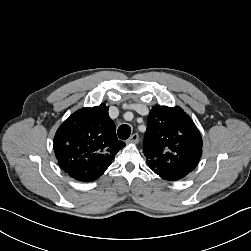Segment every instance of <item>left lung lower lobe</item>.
Masks as SVG:
<instances>
[{"label":"left lung lower lobe","instance_id":"0a47b994","mask_svg":"<svg viewBox=\"0 0 251 251\" xmlns=\"http://www.w3.org/2000/svg\"><path fill=\"white\" fill-rule=\"evenodd\" d=\"M147 164L151 170H153L157 175L165 180L175 181L185 177L189 172H191L195 167L185 166L182 169H173L167 165H157L156 161L147 158Z\"/></svg>","mask_w":251,"mask_h":251}]
</instances>
